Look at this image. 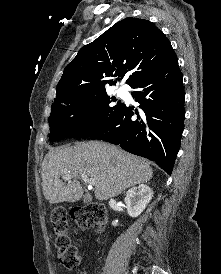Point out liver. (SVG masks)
Here are the masks:
<instances>
[{"label":"liver","mask_w":221,"mask_h":274,"mask_svg":"<svg viewBox=\"0 0 221 274\" xmlns=\"http://www.w3.org/2000/svg\"><path fill=\"white\" fill-rule=\"evenodd\" d=\"M41 174L45 199L57 204L76 202L83 196L81 174L95 179V196L103 201L150 181L153 170L144 159L116 146L88 141L50 150L43 160ZM66 174L70 175L69 179L63 178Z\"/></svg>","instance_id":"liver-1"}]
</instances>
